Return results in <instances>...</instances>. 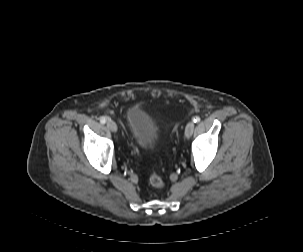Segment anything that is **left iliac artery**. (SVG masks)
I'll return each instance as SVG.
<instances>
[{
	"label": "left iliac artery",
	"instance_id": "1",
	"mask_svg": "<svg viewBox=\"0 0 303 252\" xmlns=\"http://www.w3.org/2000/svg\"><path fill=\"white\" fill-rule=\"evenodd\" d=\"M193 121H194L195 123L200 122V117H199V116L194 117Z\"/></svg>",
	"mask_w": 303,
	"mask_h": 252
}]
</instances>
